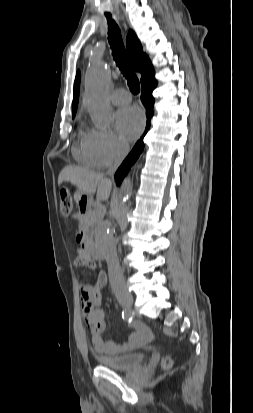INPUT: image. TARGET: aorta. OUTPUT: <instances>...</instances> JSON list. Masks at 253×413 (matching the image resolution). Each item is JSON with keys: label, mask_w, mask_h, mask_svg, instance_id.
<instances>
[{"label": "aorta", "mask_w": 253, "mask_h": 413, "mask_svg": "<svg viewBox=\"0 0 253 413\" xmlns=\"http://www.w3.org/2000/svg\"><path fill=\"white\" fill-rule=\"evenodd\" d=\"M111 87L109 65L104 61L92 63L85 75L84 105L88 109L93 123L106 128L112 121L113 111L108 100ZM132 180L127 178L122 187L121 200L128 201L132 192Z\"/></svg>", "instance_id": "aorta-1"}]
</instances>
